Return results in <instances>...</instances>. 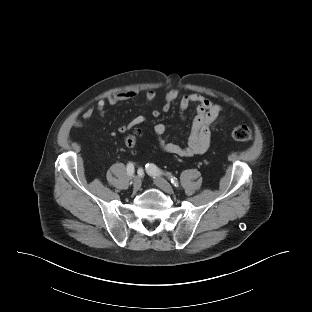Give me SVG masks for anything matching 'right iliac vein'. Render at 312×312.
Segmentation results:
<instances>
[{
  "instance_id": "63e3f726",
  "label": "right iliac vein",
  "mask_w": 312,
  "mask_h": 312,
  "mask_svg": "<svg viewBox=\"0 0 312 312\" xmlns=\"http://www.w3.org/2000/svg\"><path fill=\"white\" fill-rule=\"evenodd\" d=\"M140 187H141V179L139 177H136L133 182V190L136 192L140 189Z\"/></svg>"
}]
</instances>
